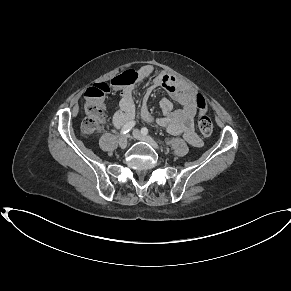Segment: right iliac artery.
<instances>
[{
	"label": "right iliac artery",
	"instance_id": "obj_1",
	"mask_svg": "<svg viewBox=\"0 0 291 291\" xmlns=\"http://www.w3.org/2000/svg\"><path fill=\"white\" fill-rule=\"evenodd\" d=\"M135 126V121L127 122L120 131V136L127 134Z\"/></svg>",
	"mask_w": 291,
	"mask_h": 291
}]
</instances>
